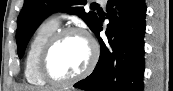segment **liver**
Instances as JSON below:
<instances>
[{"label": "liver", "mask_w": 173, "mask_h": 91, "mask_svg": "<svg viewBox=\"0 0 173 91\" xmlns=\"http://www.w3.org/2000/svg\"><path fill=\"white\" fill-rule=\"evenodd\" d=\"M15 91H36L34 87L32 86H27L25 88H18V89H15Z\"/></svg>", "instance_id": "obj_1"}]
</instances>
